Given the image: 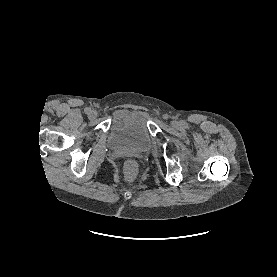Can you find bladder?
<instances>
[{
  "label": "bladder",
  "instance_id": "31cf9c89",
  "mask_svg": "<svg viewBox=\"0 0 277 277\" xmlns=\"http://www.w3.org/2000/svg\"><path fill=\"white\" fill-rule=\"evenodd\" d=\"M108 143L114 150L147 151L152 145L147 114L139 110H119L112 118Z\"/></svg>",
  "mask_w": 277,
  "mask_h": 277
}]
</instances>
